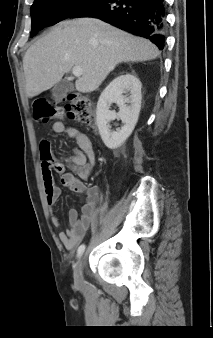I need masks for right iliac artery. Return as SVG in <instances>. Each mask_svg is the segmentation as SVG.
<instances>
[{"mask_svg":"<svg viewBox=\"0 0 213 338\" xmlns=\"http://www.w3.org/2000/svg\"><path fill=\"white\" fill-rule=\"evenodd\" d=\"M84 250H85V244L80 245L79 248H78V251H77V257L78 258L81 257V255L83 254Z\"/></svg>","mask_w":213,"mask_h":338,"instance_id":"right-iliac-artery-1","label":"right iliac artery"}]
</instances>
